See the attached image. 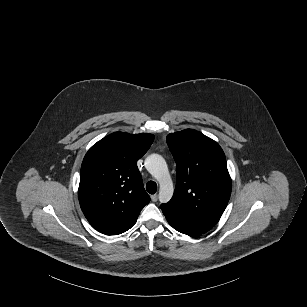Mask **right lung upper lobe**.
<instances>
[{"label": "right lung upper lobe", "mask_w": 307, "mask_h": 307, "mask_svg": "<svg viewBox=\"0 0 307 307\" xmlns=\"http://www.w3.org/2000/svg\"><path fill=\"white\" fill-rule=\"evenodd\" d=\"M154 140L152 134L112 133L86 153L79 202L89 223L106 235L120 234L150 201L137 167Z\"/></svg>", "instance_id": "1"}]
</instances>
